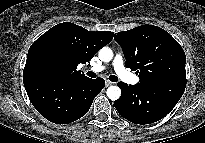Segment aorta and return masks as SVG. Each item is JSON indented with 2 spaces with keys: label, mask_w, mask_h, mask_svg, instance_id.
I'll use <instances>...</instances> for the list:
<instances>
[{
  "label": "aorta",
  "mask_w": 205,
  "mask_h": 143,
  "mask_svg": "<svg viewBox=\"0 0 205 143\" xmlns=\"http://www.w3.org/2000/svg\"><path fill=\"white\" fill-rule=\"evenodd\" d=\"M99 58L103 62H109L113 58V52L108 47H103L99 51ZM106 94L112 101L118 100L121 96V89L118 86H110L107 88Z\"/></svg>",
  "instance_id": "aorta-1"
}]
</instances>
